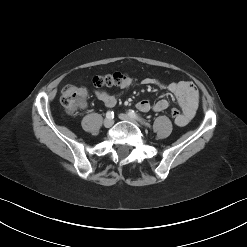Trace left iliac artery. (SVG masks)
<instances>
[{"label":"left iliac artery","instance_id":"left-iliac-artery-1","mask_svg":"<svg viewBox=\"0 0 247 247\" xmlns=\"http://www.w3.org/2000/svg\"><path fill=\"white\" fill-rule=\"evenodd\" d=\"M128 114L135 118L136 120L140 121L141 123L149 126V123H147L143 118H141L138 114H136V112H134L133 110H129Z\"/></svg>","mask_w":247,"mask_h":247}]
</instances>
